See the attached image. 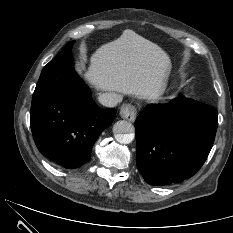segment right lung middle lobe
Wrapping results in <instances>:
<instances>
[{"instance_id":"dd1d6c3e","label":"right lung middle lobe","mask_w":233,"mask_h":233,"mask_svg":"<svg viewBox=\"0 0 233 233\" xmlns=\"http://www.w3.org/2000/svg\"><path fill=\"white\" fill-rule=\"evenodd\" d=\"M74 41L69 42L64 49H71Z\"/></svg>"}]
</instances>
